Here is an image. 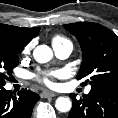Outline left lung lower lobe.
Listing matches in <instances>:
<instances>
[{"label":"left lung lower lobe","mask_w":118,"mask_h":118,"mask_svg":"<svg viewBox=\"0 0 118 118\" xmlns=\"http://www.w3.org/2000/svg\"><path fill=\"white\" fill-rule=\"evenodd\" d=\"M72 109L68 118H118V91L91 89L80 100L71 94Z\"/></svg>","instance_id":"obj_1"}]
</instances>
